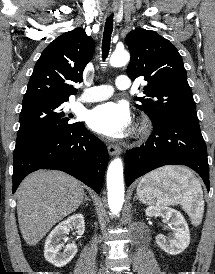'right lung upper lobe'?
Segmentation results:
<instances>
[{"mask_svg": "<svg viewBox=\"0 0 215 274\" xmlns=\"http://www.w3.org/2000/svg\"><path fill=\"white\" fill-rule=\"evenodd\" d=\"M94 53V42L76 28L51 42L38 59L30 77L23 106L37 102H66L75 95L71 82H82V73Z\"/></svg>", "mask_w": 215, "mask_h": 274, "instance_id": "obj_1", "label": "right lung upper lobe"}]
</instances>
